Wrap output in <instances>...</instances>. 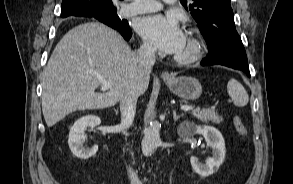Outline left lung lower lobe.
Masks as SVG:
<instances>
[{"label": "left lung lower lobe", "instance_id": "obj_1", "mask_svg": "<svg viewBox=\"0 0 293 184\" xmlns=\"http://www.w3.org/2000/svg\"><path fill=\"white\" fill-rule=\"evenodd\" d=\"M225 65L239 69L250 77L247 56L238 34L225 36L218 47L217 53L209 55L201 61V65Z\"/></svg>", "mask_w": 293, "mask_h": 184}]
</instances>
